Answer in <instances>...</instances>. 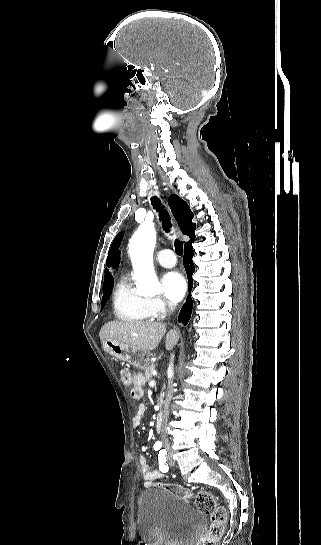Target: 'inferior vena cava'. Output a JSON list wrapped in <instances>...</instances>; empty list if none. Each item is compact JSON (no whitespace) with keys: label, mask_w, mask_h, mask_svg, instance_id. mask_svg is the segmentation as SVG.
Here are the masks:
<instances>
[{"label":"inferior vena cava","mask_w":321,"mask_h":545,"mask_svg":"<svg viewBox=\"0 0 321 545\" xmlns=\"http://www.w3.org/2000/svg\"><path fill=\"white\" fill-rule=\"evenodd\" d=\"M170 309H176V303H168ZM169 369H174V355H171L170 363H169ZM173 377H170L168 381V389H167V395H166V401H165V407H164V413L162 417V425H161V441L162 443H166L164 446L167 448L169 445L168 441V435H167V423H168V417H169V407L170 403L172 401L173 397Z\"/></svg>","instance_id":"inferior-vena-cava-1"}]
</instances>
